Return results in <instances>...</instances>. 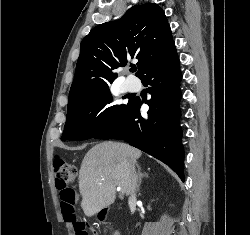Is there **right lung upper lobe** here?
Listing matches in <instances>:
<instances>
[{"label":"right lung upper lobe","instance_id":"obj_1","mask_svg":"<svg viewBox=\"0 0 250 235\" xmlns=\"http://www.w3.org/2000/svg\"><path fill=\"white\" fill-rule=\"evenodd\" d=\"M173 42L166 16L154 3L133 6L121 19L94 27L81 42L69 102L108 86L117 77L112 70L130 59H138L141 78Z\"/></svg>","mask_w":250,"mask_h":235}]
</instances>
